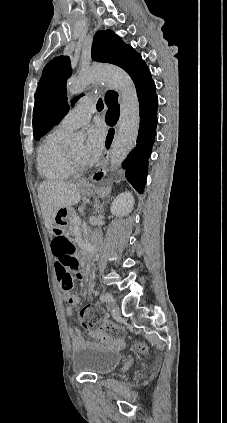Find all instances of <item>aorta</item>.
Listing matches in <instances>:
<instances>
[{"mask_svg":"<svg viewBox=\"0 0 227 423\" xmlns=\"http://www.w3.org/2000/svg\"><path fill=\"white\" fill-rule=\"evenodd\" d=\"M96 82H104L119 93L120 120L119 128L113 139L108 160L112 170L118 168L134 147L140 125V108L135 85L130 76L115 66H94L67 82L69 95H79L85 88ZM83 135L75 133L70 142L80 143Z\"/></svg>","mask_w":227,"mask_h":423,"instance_id":"762f6f07","label":"aorta"}]
</instances>
